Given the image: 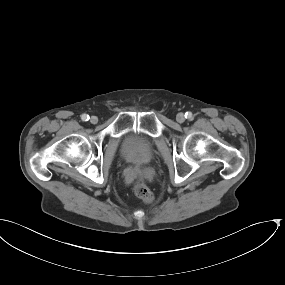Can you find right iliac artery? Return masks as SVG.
Wrapping results in <instances>:
<instances>
[{
    "label": "right iliac artery",
    "instance_id": "82829eb1",
    "mask_svg": "<svg viewBox=\"0 0 285 285\" xmlns=\"http://www.w3.org/2000/svg\"><path fill=\"white\" fill-rule=\"evenodd\" d=\"M89 115H87V114H83L82 116H81V119L83 120V121H88L89 120Z\"/></svg>",
    "mask_w": 285,
    "mask_h": 285
}]
</instances>
